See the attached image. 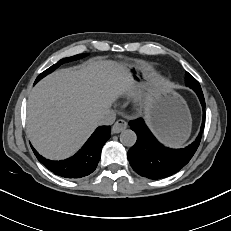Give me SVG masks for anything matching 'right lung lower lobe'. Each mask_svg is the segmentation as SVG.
I'll return each instance as SVG.
<instances>
[{"label": "right lung lower lobe", "mask_w": 231, "mask_h": 231, "mask_svg": "<svg viewBox=\"0 0 231 231\" xmlns=\"http://www.w3.org/2000/svg\"><path fill=\"white\" fill-rule=\"evenodd\" d=\"M110 126H100L84 146L71 158L61 161L45 159L33 149L37 159L51 172L64 178H81L92 173L100 160L101 150L110 138Z\"/></svg>", "instance_id": "right-lung-lower-lobe-1"}]
</instances>
